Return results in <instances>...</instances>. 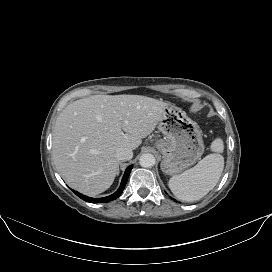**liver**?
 <instances>
[{"mask_svg":"<svg viewBox=\"0 0 272 272\" xmlns=\"http://www.w3.org/2000/svg\"><path fill=\"white\" fill-rule=\"evenodd\" d=\"M167 106L142 95H94L70 103L53 130L57 171L81 193L104 192L117 175L116 150L136 149L155 129Z\"/></svg>","mask_w":272,"mask_h":272,"instance_id":"1","label":"liver"}]
</instances>
